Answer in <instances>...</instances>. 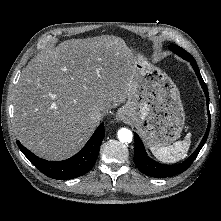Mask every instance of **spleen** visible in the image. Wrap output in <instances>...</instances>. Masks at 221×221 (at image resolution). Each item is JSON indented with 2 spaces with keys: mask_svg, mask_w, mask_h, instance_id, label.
Masks as SVG:
<instances>
[{
  "mask_svg": "<svg viewBox=\"0 0 221 221\" xmlns=\"http://www.w3.org/2000/svg\"><path fill=\"white\" fill-rule=\"evenodd\" d=\"M191 133H188L184 140L177 141L170 146H152L150 147L153 155L164 163H175L184 158L191 144Z\"/></svg>",
  "mask_w": 221,
  "mask_h": 221,
  "instance_id": "spleen-1",
  "label": "spleen"
}]
</instances>
